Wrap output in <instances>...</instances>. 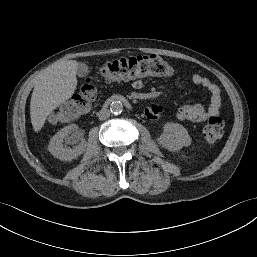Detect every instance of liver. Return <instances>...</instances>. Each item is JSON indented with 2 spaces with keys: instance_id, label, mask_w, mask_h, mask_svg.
I'll return each instance as SVG.
<instances>
[{
  "instance_id": "6515ba94",
  "label": "liver",
  "mask_w": 257,
  "mask_h": 257,
  "mask_svg": "<svg viewBox=\"0 0 257 257\" xmlns=\"http://www.w3.org/2000/svg\"><path fill=\"white\" fill-rule=\"evenodd\" d=\"M77 67L75 60L60 61L40 75L30 102V118L35 132H39L47 116L75 92Z\"/></svg>"
}]
</instances>
